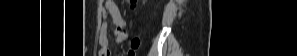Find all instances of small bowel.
<instances>
[{
    "mask_svg": "<svg viewBox=\"0 0 297 56\" xmlns=\"http://www.w3.org/2000/svg\"><path fill=\"white\" fill-rule=\"evenodd\" d=\"M109 14L112 18L114 25L116 26L115 29V42L121 43L127 38V32L125 30V20L120 12V9L116 2L112 0H108L105 2V10L103 11V15L106 16ZM108 26L106 23L102 25L100 36H99V44L100 56H110L111 52L109 49V40L107 36Z\"/></svg>",
    "mask_w": 297,
    "mask_h": 56,
    "instance_id": "obj_1",
    "label": "small bowel"
}]
</instances>
